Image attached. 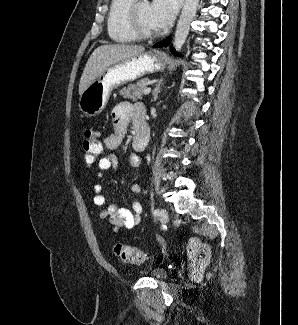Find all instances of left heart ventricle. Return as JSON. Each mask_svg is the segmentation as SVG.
<instances>
[{"mask_svg": "<svg viewBox=\"0 0 298 325\" xmlns=\"http://www.w3.org/2000/svg\"><path fill=\"white\" fill-rule=\"evenodd\" d=\"M137 21L141 30L148 33L161 32L153 11V3L150 1L140 5L137 11Z\"/></svg>", "mask_w": 298, "mask_h": 325, "instance_id": "left-heart-ventricle-1", "label": "left heart ventricle"}]
</instances>
